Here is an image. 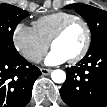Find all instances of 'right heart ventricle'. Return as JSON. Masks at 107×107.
Instances as JSON below:
<instances>
[{"instance_id": "right-heart-ventricle-1", "label": "right heart ventricle", "mask_w": 107, "mask_h": 107, "mask_svg": "<svg viewBox=\"0 0 107 107\" xmlns=\"http://www.w3.org/2000/svg\"><path fill=\"white\" fill-rule=\"evenodd\" d=\"M76 17V15L69 12H55L42 16L33 22V28L38 36L45 41L50 43V40L57 29L66 21Z\"/></svg>"}]
</instances>
